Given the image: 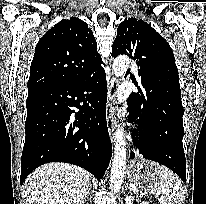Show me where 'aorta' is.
Listing matches in <instances>:
<instances>
[{
    "label": "aorta",
    "mask_w": 206,
    "mask_h": 204,
    "mask_svg": "<svg viewBox=\"0 0 206 204\" xmlns=\"http://www.w3.org/2000/svg\"><path fill=\"white\" fill-rule=\"evenodd\" d=\"M130 64V60L127 56H119L115 58L112 65L113 73L117 78H122L126 73ZM126 141L123 132V128L119 129L115 133L114 141V158L110 173V185L111 192H117L120 190L126 168Z\"/></svg>",
    "instance_id": "aorta-1"
}]
</instances>
